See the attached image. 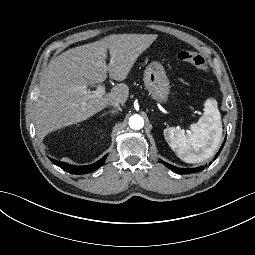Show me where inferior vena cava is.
I'll return each mask as SVG.
<instances>
[{
    "label": "inferior vena cava",
    "instance_id": "1",
    "mask_svg": "<svg viewBox=\"0 0 255 255\" xmlns=\"http://www.w3.org/2000/svg\"><path fill=\"white\" fill-rule=\"evenodd\" d=\"M110 105H112L114 108H116L117 111H122L118 101H112Z\"/></svg>",
    "mask_w": 255,
    "mask_h": 255
}]
</instances>
